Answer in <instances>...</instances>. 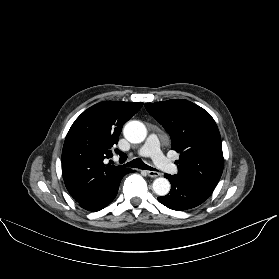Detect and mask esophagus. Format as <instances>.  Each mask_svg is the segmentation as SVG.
I'll return each instance as SVG.
<instances>
[{"label":"esophagus","instance_id":"1","mask_svg":"<svg viewBox=\"0 0 279 279\" xmlns=\"http://www.w3.org/2000/svg\"><path fill=\"white\" fill-rule=\"evenodd\" d=\"M147 172V175L150 176V177H158L160 176V173L157 172V171H146Z\"/></svg>","mask_w":279,"mask_h":279}]
</instances>
